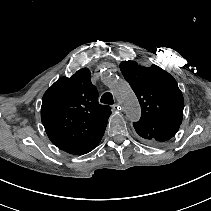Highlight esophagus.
Instances as JSON below:
<instances>
[{
  "label": "esophagus",
  "mask_w": 211,
  "mask_h": 211,
  "mask_svg": "<svg viewBox=\"0 0 211 211\" xmlns=\"http://www.w3.org/2000/svg\"><path fill=\"white\" fill-rule=\"evenodd\" d=\"M112 108H113L115 111H120V110H122L121 106L118 105V104L113 105Z\"/></svg>",
  "instance_id": "34e87169"
}]
</instances>
